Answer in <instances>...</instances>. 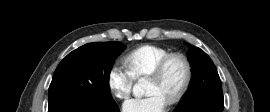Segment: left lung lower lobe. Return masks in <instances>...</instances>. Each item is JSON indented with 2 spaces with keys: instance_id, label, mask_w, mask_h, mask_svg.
Masks as SVG:
<instances>
[{
  "instance_id": "1",
  "label": "left lung lower lobe",
  "mask_w": 270,
  "mask_h": 112,
  "mask_svg": "<svg viewBox=\"0 0 270 112\" xmlns=\"http://www.w3.org/2000/svg\"><path fill=\"white\" fill-rule=\"evenodd\" d=\"M223 109L224 101L208 100L185 108L176 109L174 112H223Z\"/></svg>"
}]
</instances>
